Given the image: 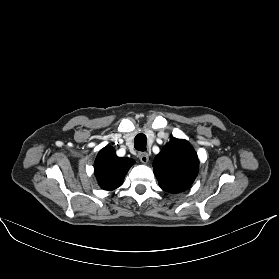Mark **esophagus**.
Segmentation results:
<instances>
[{"label":"esophagus","mask_w":279,"mask_h":279,"mask_svg":"<svg viewBox=\"0 0 279 279\" xmlns=\"http://www.w3.org/2000/svg\"><path fill=\"white\" fill-rule=\"evenodd\" d=\"M138 157L140 161L144 164H146L149 161V156L147 153H139Z\"/></svg>","instance_id":"esophagus-1"}]
</instances>
